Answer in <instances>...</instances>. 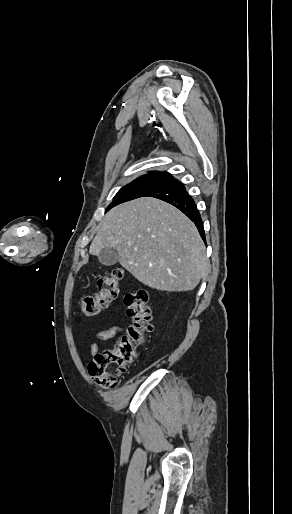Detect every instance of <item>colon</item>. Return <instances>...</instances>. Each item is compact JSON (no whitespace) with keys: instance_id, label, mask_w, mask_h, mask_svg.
<instances>
[{"instance_id":"obj_1","label":"colon","mask_w":292,"mask_h":514,"mask_svg":"<svg viewBox=\"0 0 292 514\" xmlns=\"http://www.w3.org/2000/svg\"><path fill=\"white\" fill-rule=\"evenodd\" d=\"M122 278L123 272L120 269H114L99 277L98 292L85 295L81 299L82 313L87 317L98 316L118 297ZM125 304L132 318L128 334L122 336L116 345L97 354L88 365L90 376L106 390L116 388L118 379L135 359L137 349L144 344L146 332L152 328L151 302L147 290H131Z\"/></svg>"}]
</instances>
